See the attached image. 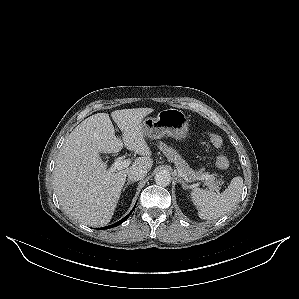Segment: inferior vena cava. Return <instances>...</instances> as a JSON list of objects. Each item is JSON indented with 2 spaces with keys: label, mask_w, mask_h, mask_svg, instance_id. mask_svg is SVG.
Masks as SVG:
<instances>
[{
  "label": "inferior vena cava",
  "mask_w": 299,
  "mask_h": 299,
  "mask_svg": "<svg viewBox=\"0 0 299 299\" xmlns=\"http://www.w3.org/2000/svg\"><path fill=\"white\" fill-rule=\"evenodd\" d=\"M147 174V170L141 166H133L128 172V180L130 181H139L143 179Z\"/></svg>",
  "instance_id": "inferior-vena-cava-1"
}]
</instances>
